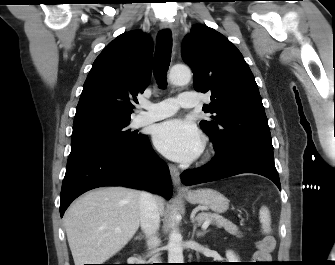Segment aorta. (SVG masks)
Wrapping results in <instances>:
<instances>
[{
	"label": "aorta",
	"mask_w": 335,
	"mask_h": 265,
	"mask_svg": "<svg viewBox=\"0 0 335 265\" xmlns=\"http://www.w3.org/2000/svg\"><path fill=\"white\" fill-rule=\"evenodd\" d=\"M169 80L174 85H185L191 80V71L183 65H175L171 68ZM168 263H184L182 249V235L177 228V223L172 224V229L169 233V241L167 245Z\"/></svg>",
	"instance_id": "1"
}]
</instances>
